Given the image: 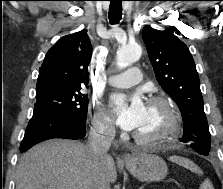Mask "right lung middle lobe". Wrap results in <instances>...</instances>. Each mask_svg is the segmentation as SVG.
Here are the masks:
<instances>
[{
  "label": "right lung middle lobe",
  "instance_id": "dd1d6c3e",
  "mask_svg": "<svg viewBox=\"0 0 223 189\" xmlns=\"http://www.w3.org/2000/svg\"><path fill=\"white\" fill-rule=\"evenodd\" d=\"M81 89L82 87L37 92L34 110L57 112L84 122L88 110V96Z\"/></svg>",
  "mask_w": 223,
  "mask_h": 189
}]
</instances>
